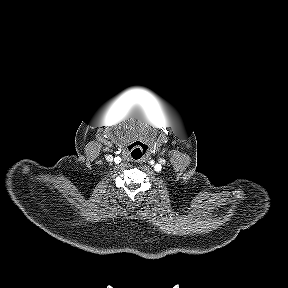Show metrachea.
<instances>
[{"label": "trachea", "mask_w": 288, "mask_h": 288, "mask_svg": "<svg viewBox=\"0 0 288 288\" xmlns=\"http://www.w3.org/2000/svg\"><path fill=\"white\" fill-rule=\"evenodd\" d=\"M127 148L133 160L141 159L148 151V146L140 141L130 143Z\"/></svg>", "instance_id": "trachea-1"}]
</instances>
